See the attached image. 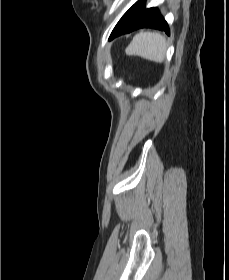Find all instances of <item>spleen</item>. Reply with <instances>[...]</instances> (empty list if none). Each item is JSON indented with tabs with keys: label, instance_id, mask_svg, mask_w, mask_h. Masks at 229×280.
Returning a JSON list of instances; mask_svg holds the SVG:
<instances>
[{
	"label": "spleen",
	"instance_id": "obj_1",
	"mask_svg": "<svg viewBox=\"0 0 229 280\" xmlns=\"http://www.w3.org/2000/svg\"><path fill=\"white\" fill-rule=\"evenodd\" d=\"M167 50L164 36L156 32H140L126 49L130 55H138L145 59L162 62Z\"/></svg>",
	"mask_w": 229,
	"mask_h": 280
}]
</instances>
